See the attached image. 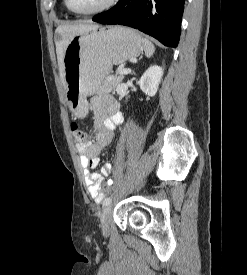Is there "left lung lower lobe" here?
Here are the masks:
<instances>
[{"instance_id": "1", "label": "left lung lower lobe", "mask_w": 247, "mask_h": 275, "mask_svg": "<svg viewBox=\"0 0 247 275\" xmlns=\"http://www.w3.org/2000/svg\"><path fill=\"white\" fill-rule=\"evenodd\" d=\"M185 0H119L93 21L138 29L168 47H177Z\"/></svg>"}]
</instances>
